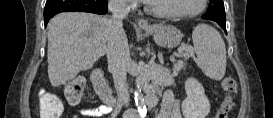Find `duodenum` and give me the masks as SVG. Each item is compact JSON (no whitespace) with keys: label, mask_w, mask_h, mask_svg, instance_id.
<instances>
[{"label":"duodenum","mask_w":273,"mask_h":118,"mask_svg":"<svg viewBox=\"0 0 273 118\" xmlns=\"http://www.w3.org/2000/svg\"><path fill=\"white\" fill-rule=\"evenodd\" d=\"M91 80L95 91L99 97L109 106H115L118 104L117 97L113 94L111 87L103 77V71L100 68H96L91 75Z\"/></svg>","instance_id":"duodenum-1"}]
</instances>
